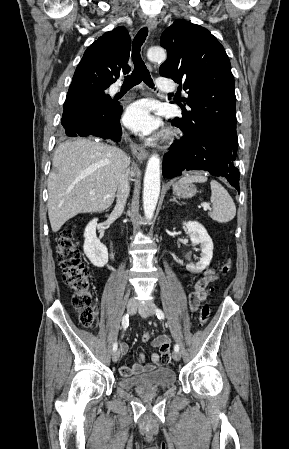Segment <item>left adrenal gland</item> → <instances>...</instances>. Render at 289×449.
<instances>
[{"instance_id":"a2214340","label":"left adrenal gland","mask_w":289,"mask_h":449,"mask_svg":"<svg viewBox=\"0 0 289 449\" xmlns=\"http://www.w3.org/2000/svg\"><path fill=\"white\" fill-rule=\"evenodd\" d=\"M170 201H174V202H176V203L179 204V202L176 200V197H175V196H174L172 199H170Z\"/></svg>"}]
</instances>
